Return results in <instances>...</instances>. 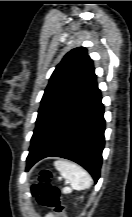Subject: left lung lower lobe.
Instances as JSON below:
<instances>
[{"label": "left lung lower lobe", "mask_w": 132, "mask_h": 217, "mask_svg": "<svg viewBox=\"0 0 132 217\" xmlns=\"http://www.w3.org/2000/svg\"><path fill=\"white\" fill-rule=\"evenodd\" d=\"M96 80L49 125L30 150L27 170L57 156L84 167L97 182L104 148V107Z\"/></svg>", "instance_id": "0a47b994"}]
</instances>
